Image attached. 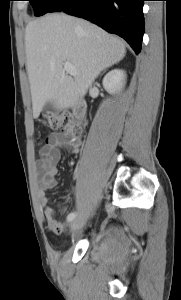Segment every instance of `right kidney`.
I'll return each mask as SVG.
<instances>
[{
	"instance_id": "ca27d5eb",
	"label": "right kidney",
	"mask_w": 181,
	"mask_h": 300,
	"mask_svg": "<svg viewBox=\"0 0 181 300\" xmlns=\"http://www.w3.org/2000/svg\"><path fill=\"white\" fill-rule=\"evenodd\" d=\"M126 73L121 69H114L103 78V87L110 94L119 92L125 84Z\"/></svg>"
}]
</instances>
